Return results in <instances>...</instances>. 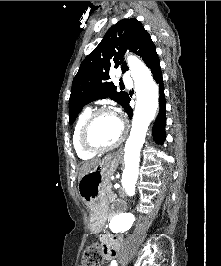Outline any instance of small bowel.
Returning a JSON list of instances; mask_svg holds the SVG:
<instances>
[{
  "mask_svg": "<svg viewBox=\"0 0 221 266\" xmlns=\"http://www.w3.org/2000/svg\"><path fill=\"white\" fill-rule=\"evenodd\" d=\"M115 216H117V213L112 214V217ZM100 240L103 246V256L106 259H113L119 254L122 245V237L120 235L106 233L100 236Z\"/></svg>",
  "mask_w": 221,
  "mask_h": 266,
  "instance_id": "obj_1",
  "label": "small bowel"
}]
</instances>
